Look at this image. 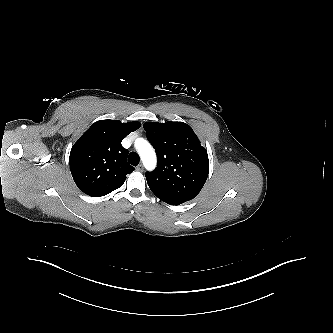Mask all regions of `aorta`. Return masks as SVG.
Wrapping results in <instances>:
<instances>
[{"label":"aorta","mask_w":333,"mask_h":333,"mask_svg":"<svg viewBox=\"0 0 333 333\" xmlns=\"http://www.w3.org/2000/svg\"><path fill=\"white\" fill-rule=\"evenodd\" d=\"M135 148L137 149L145 168L147 170L154 169L157 163V158L150 143L143 138H138L135 140Z\"/></svg>","instance_id":"762f6f07"}]
</instances>
